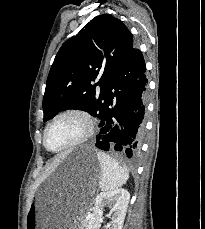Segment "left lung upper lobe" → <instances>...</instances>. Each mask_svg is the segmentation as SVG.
<instances>
[{"label":"left lung upper lobe","instance_id":"1","mask_svg":"<svg viewBox=\"0 0 205 229\" xmlns=\"http://www.w3.org/2000/svg\"><path fill=\"white\" fill-rule=\"evenodd\" d=\"M133 46L122 21L109 14L93 18L55 57L46 82L43 121L67 109L84 110L100 120L109 88ZM97 85L100 91L95 90Z\"/></svg>","mask_w":205,"mask_h":229}]
</instances>
